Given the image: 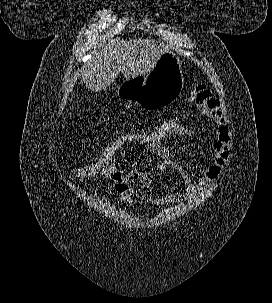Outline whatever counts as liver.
<instances>
[{
  "mask_svg": "<svg viewBox=\"0 0 272 303\" xmlns=\"http://www.w3.org/2000/svg\"><path fill=\"white\" fill-rule=\"evenodd\" d=\"M168 50L167 45L155 40L112 38L84 65L82 81L97 92L111 85L120 73L127 80L146 75Z\"/></svg>",
  "mask_w": 272,
  "mask_h": 303,
  "instance_id": "6515ba94",
  "label": "liver"
}]
</instances>
